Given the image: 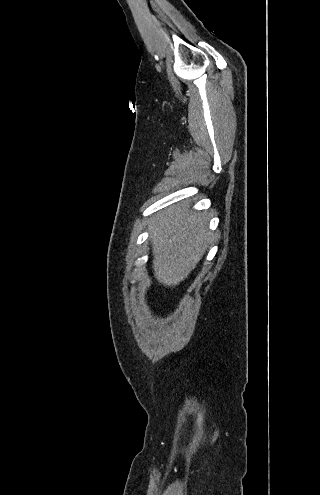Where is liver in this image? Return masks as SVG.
<instances>
[{"label":"liver","instance_id":"obj_1","mask_svg":"<svg viewBox=\"0 0 320 495\" xmlns=\"http://www.w3.org/2000/svg\"><path fill=\"white\" fill-rule=\"evenodd\" d=\"M155 278L164 286L185 280L206 252L212 233L206 213L177 203L156 214L150 225Z\"/></svg>","mask_w":320,"mask_h":495}]
</instances>
